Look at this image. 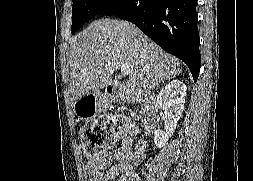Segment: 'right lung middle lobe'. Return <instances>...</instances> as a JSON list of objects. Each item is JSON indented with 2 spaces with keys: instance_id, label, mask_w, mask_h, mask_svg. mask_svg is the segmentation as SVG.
Listing matches in <instances>:
<instances>
[{
  "instance_id": "dd1d6c3e",
  "label": "right lung middle lobe",
  "mask_w": 253,
  "mask_h": 181,
  "mask_svg": "<svg viewBox=\"0 0 253 181\" xmlns=\"http://www.w3.org/2000/svg\"><path fill=\"white\" fill-rule=\"evenodd\" d=\"M72 33L96 14L112 16L130 0H72Z\"/></svg>"
}]
</instances>
